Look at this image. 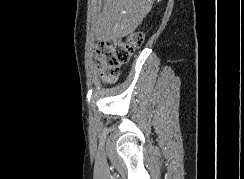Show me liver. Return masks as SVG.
I'll list each match as a JSON object with an SVG mask.
<instances>
[{
	"label": "liver",
	"mask_w": 244,
	"mask_h": 179,
	"mask_svg": "<svg viewBox=\"0 0 244 179\" xmlns=\"http://www.w3.org/2000/svg\"><path fill=\"white\" fill-rule=\"evenodd\" d=\"M152 0H104L95 24V38L109 42L133 34L149 14Z\"/></svg>",
	"instance_id": "1"
}]
</instances>
